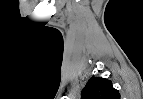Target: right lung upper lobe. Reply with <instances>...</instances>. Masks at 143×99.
I'll return each instance as SVG.
<instances>
[{
    "mask_svg": "<svg viewBox=\"0 0 143 99\" xmlns=\"http://www.w3.org/2000/svg\"><path fill=\"white\" fill-rule=\"evenodd\" d=\"M81 99H120V94L110 80L93 77L82 90Z\"/></svg>",
    "mask_w": 143,
    "mask_h": 99,
    "instance_id": "1",
    "label": "right lung upper lobe"
}]
</instances>
